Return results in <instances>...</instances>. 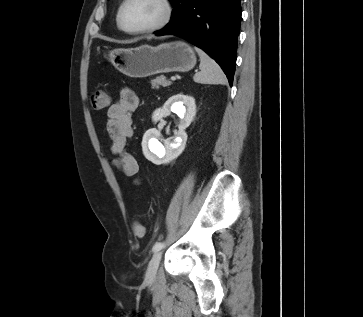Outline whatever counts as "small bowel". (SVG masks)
Wrapping results in <instances>:
<instances>
[{
    "label": "small bowel",
    "mask_w": 363,
    "mask_h": 317,
    "mask_svg": "<svg viewBox=\"0 0 363 317\" xmlns=\"http://www.w3.org/2000/svg\"><path fill=\"white\" fill-rule=\"evenodd\" d=\"M139 102L132 90L124 88L107 112L106 128L111 139L110 151L115 157L113 163L126 176H135L139 172L137 159L126 150L127 140L133 135L132 115Z\"/></svg>",
    "instance_id": "obj_1"
}]
</instances>
